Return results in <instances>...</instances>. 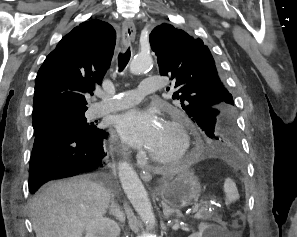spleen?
Masks as SVG:
<instances>
[{
	"instance_id": "obj_1",
	"label": "spleen",
	"mask_w": 297,
	"mask_h": 237,
	"mask_svg": "<svg viewBox=\"0 0 297 237\" xmlns=\"http://www.w3.org/2000/svg\"><path fill=\"white\" fill-rule=\"evenodd\" d=\"M223 189L226 193V197L228 200L235 201L239 198V193L236 184L230 178H227L225 180Z\"/></svg>"
}]
</instances>
